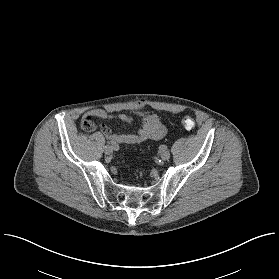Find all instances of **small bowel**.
<instances>
[{
	"label": "small bowel",
	"mask_w": 279,
	"mask_h": 279,
	"mask_svg": "<svg viewBox=\"0 0 279 279\" xmlns=\"http://www.w3.org/2000/svg\"><path fill=\"white\" fill-rule=\"evenodd\" d=\"M94 118L109 120L118 119L127 123H132L135 120L133 116L127 114H114L109 110L96 108L89 110L84 114L82 118V124H89L93 130L95 128V125L93 123ZM100 129L112 145L118 146L121 144H137L146 140H158L164 137V135L166 134L164 123L161 117L156 114L142 116L140 119V128L134 133H113L109 126H107L106 124H101Z\"/></svg>",
	"instance_id": "1"
}]
</instances>
